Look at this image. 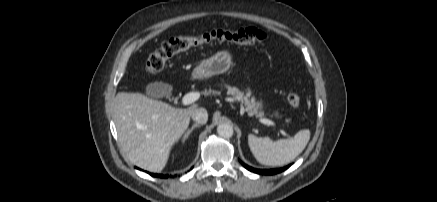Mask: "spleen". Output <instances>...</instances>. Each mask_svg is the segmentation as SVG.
Returning a JSON list of instances; mask_svg holds the SVG:
<instances>
[{
  "label": "spleen",
  "instance_id": "spleen-1",
  "mask_svg": "<svg viewBox=\"0 0 437 202\" xmlns=\"http://www.w3.org/2000/svg\"><path fill=\"white\" fill-rule=\"evenodd\" d=\"M310 140L308 129L298 131L294 137L272 141L269 137L248 135V145L256 160L267 166H282L294 160Z\"/></svg>",
  "mask_w": 437,
  "mask_h": 202
}]
</instances>
